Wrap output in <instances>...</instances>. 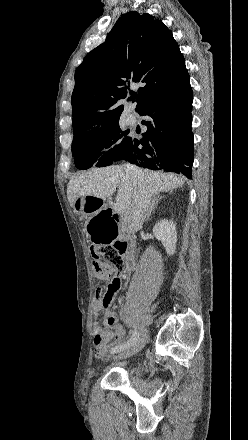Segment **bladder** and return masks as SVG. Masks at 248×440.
Instances as JSON below:
<instances>
[{"instance_id": "bladder-1", "label": "bladder", "mask_w": 248, "mask_h": 440, "mask_svg": "<svg viewBox=\"0 0 248 440\" xmlns=\"http://www.w3.org/2000/svg\"><path fill=\"white\" fill-rule=\"evenodd\" d=\"M145 369L141 365H134L128 368L127 376L132 379L139 378L143 375Z\"/></svg>"}]
</instances>
